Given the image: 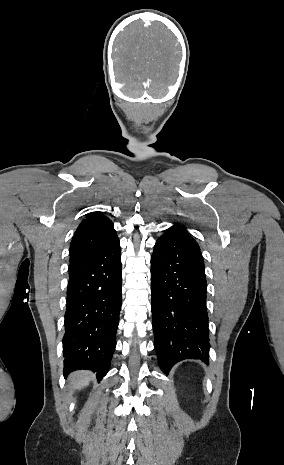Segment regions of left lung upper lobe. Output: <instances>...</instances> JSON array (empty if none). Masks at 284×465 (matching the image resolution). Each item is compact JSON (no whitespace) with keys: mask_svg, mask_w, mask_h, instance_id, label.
<instances>
[{"mask_svg":"<svg viewBox=\"0 0 284 465\" xmlns=\"http://www.w3.org/2000/svg\"><path fill=\"white\" fill-rule=\"evenodd\" d=\"M174 227H177V228H180V229H182V230H185V229H183L181 226H178V225H177V226H174ZM185 231H186V230H185Z\"/></svg>","mask_w":284,"mask_h":465,"instance_id":"obj_1","label":"left lung upper lobe"}]
</instances>
